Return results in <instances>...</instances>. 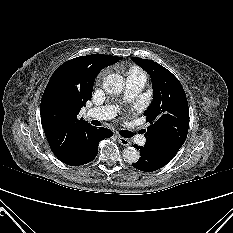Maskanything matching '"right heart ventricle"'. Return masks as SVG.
I'll return each instance as SVG.
<instances>
[{
	"label": "right heart ventricle",
	"instance_id": "1",
	"mask_svg": "<svg viewBox=\"0 0 233 233\" xmlns=\"http://www.w3.org/2000/svg\"><path fill=\"white\" fill-rule=\"evenodd\" d=\"M129 74H133V75H144V73H143L140 69H138V68H136V67L131 68V69L129 70Z\"/></svg>",
	"mask_w": 233,
	"mask_h": 233
}]
</instances>
